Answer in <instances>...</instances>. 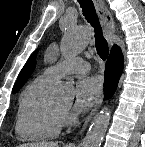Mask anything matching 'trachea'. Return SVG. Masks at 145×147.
<instances>
[{
  "label": "trachea",
  "mask_w": 145,
  "mask_h": 147,
  "mask_svg": "<svg viewBox=\"0 0 145 147\" xmlns=\"http://www.w3.org/2000/svg\"><path fill=\"white\" fill-rule=\"evenodd\" d=\"M80 6L83 10V15L85 19L94 27L95 32V46L98 55L103 60H106L109 54L108 43L103 37L102 28L97 17L95 7L92 0H79Z\"/></svg>",
  "instance_id": "trachea-1"
}]
</instances>
